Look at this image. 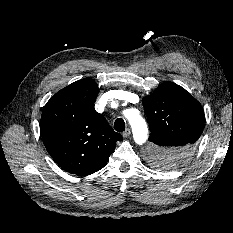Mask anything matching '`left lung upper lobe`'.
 <instances>
[{
	"label": "left lung upper lobe",
	"instance_id": "5c2ea615",
	"mask_svg": "<svg viewBox=\"0 0 233 233\" xmlns=\"http://www.w3.org/2000/svg\"><path fill=\"white\" fill-rule=\"evenodd\" d=\"M150 125L146 150L147 161L162 170L180 167L193 154L204 128V111L200 103L184 88L162 83L143 98ZM163 141H173L164 144Z\"/></svg>",
	"mask_w": 233,
	"mask_h": 233
}]
</instances>
